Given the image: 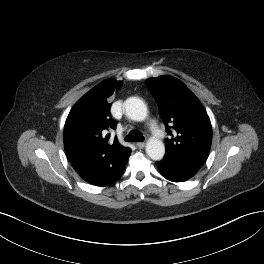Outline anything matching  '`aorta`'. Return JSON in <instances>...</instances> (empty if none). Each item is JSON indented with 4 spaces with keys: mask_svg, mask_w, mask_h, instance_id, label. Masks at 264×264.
<instances>
[{
    "mask_svg": "<svg viewBox=\"0 0 264 264\" xmlns=\"http://www.w3.org/2000/svg\"><path fill=\"white\" fill-rule=\"evenodd\" d=\"M126 115L135 121H143L147 117L145 103L137 98L130 97L124 102ZM146 153L153 160H161L165 154V146L160 139L150 138L146 144Z\"/></svg>",
    "mask_w": 264,
    "mask_h": 264,
    "instance_id": "762f6f07",
    "label": "aorta"
}]
</instances>
